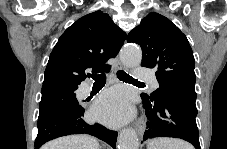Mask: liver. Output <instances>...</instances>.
Instances as JSON below:
<instances>
[{
	"label": "liver",
	"instance_id": "liver-1",
	"mask_svg": "<svg viewBox=\"0 0 227 149\" xmlns=\"http://www.w3.org/2000/svg\"><path fill=\"white\" fill-rule=\"evenodd\" d=\"M42 149H99V143L88 135H69L46 143Z\"/></svg>",
	"mask_w": 227,
	"mask_h": 149
}]
</instances>
